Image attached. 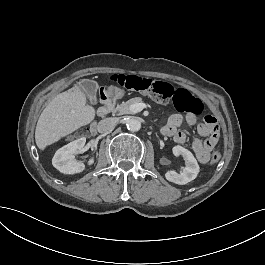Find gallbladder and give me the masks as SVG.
I'll return each instance as SVG.
<instances>
[{"instance_id": "obj_1", "label": "gallbladder", "mask_w": 265, "mask_h": 265, "mask_svg": "<svg viewBox=\"0 0 265 265\" xmlns=\"http://www.w3.org/2000/svg\"><path fill=\"white\" fill-rule=\"evenodd\" d=\"M79 87L82 90H85L86 95L92 104L97 103L98 97L96 96V94H97V84L96 83H93L90 81H81V83L79 84Z\"/></svg>"}]
</instances>
